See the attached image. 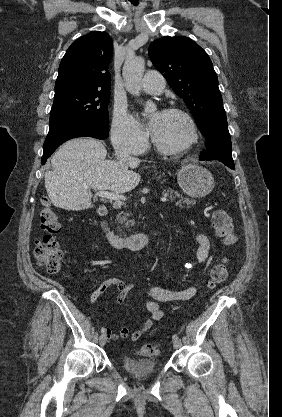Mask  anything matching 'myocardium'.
<instances>
[{
  "mask_svg": "<svg viewBox=\"0 0 282 417\" xmlns=\"http://www.w3.org/2000/svg\"><path fill=\"white\" fill-rule=\"evenodd\" d=\"M163 113L165 114H171V115H176L181 117L189 130V136L187 138V140L181 144L178 145H167L164 144L163 142H161L158 137L155 135L154 132H152V140L154 142V144L161 150L166 151V152H180L183 151L189 147H191L193 144H195L198 140V133H197V128L195 125L194 120L192 119V117L179 109L176 108H168L163 110Z\"/></svg>",
  "mask_w": 282,
  "mask_h": 417,
  "instance_id": "obj_1",
  "label": "myocardium"
}]
</instances>
